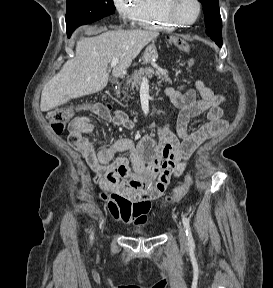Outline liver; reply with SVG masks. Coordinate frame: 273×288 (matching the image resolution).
Listing matches in <instances>:
<instances>
[{"mask_svg":"<svg viewBox=\"0 0 273 288\" xmlns=\"http://www.w3.org/2000/svg\"><path fill=\"white\" fill-rule=\"evenodd\" d=\"M159 33L153 30L106 31L98 36L80 38L76 54L43 88L42 112L57 108L73 98L90 95L104 89L108 83V65L119 59L112 70L121 77L141 50Z\"/></svg>","mask_w":273,"mask_h":288,"instance_id":"liver-1","label":"liver"}]
</instances>
